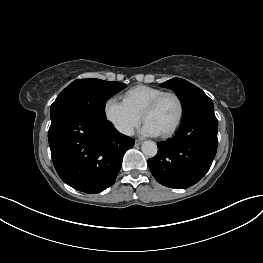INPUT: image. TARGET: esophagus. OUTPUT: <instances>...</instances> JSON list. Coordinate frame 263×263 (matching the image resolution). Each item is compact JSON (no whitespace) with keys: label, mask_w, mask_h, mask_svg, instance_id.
I'll list each match as a JSON object with an SVG mask.
<instances>
[{"label":"esophagus","mask_w":263,"mask_h":263,"mask_svg":"<svg viewBox=\"0 0 263 263\" xmlns=\"http://www.w3.org/2000/svg\"><path fill=\"white\" fill-rule=\"evenodd\" d=\"M142 143L141 140H135V146H139Z\"/></svg>","instance_id":"34e87169"}]
</instances>
